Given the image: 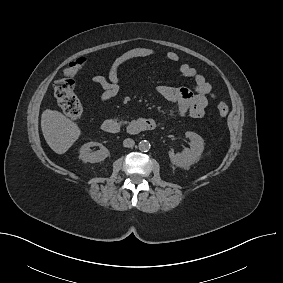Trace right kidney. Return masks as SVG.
I'll return each instance as SVG.
<instances>
[{
  "mask_svg": "<svg viewBox=\"0 0 283 283\" xmlns=\"http://www.w3.org/2000/svg\"><path fill=\"white\" fill-rule=\"evenodd\" d=\"M95 145H97V143L88 142L81 147L79 158L83 162L97 163L105 160L110 156L109 150L104 146H101L100 150L98 151L90 152V147H93Z\"/></svg>",
  "mask_w": 283,
  "mask_h": 283,
  "instance_id": "obj_1",
  "label": "right kidney"
}]
</instances>
